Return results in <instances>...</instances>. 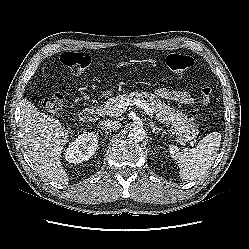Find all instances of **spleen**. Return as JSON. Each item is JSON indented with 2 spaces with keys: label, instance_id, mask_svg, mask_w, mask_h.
I'll use <instances>...</instances> for the list:
<instances>
[{
  "label": "spleen",
  "instance_id": "3e777b00",
  "mask_svg": "<svg viewBox=\"0 0 249 249\" xmlns=\"http://www.w3.org/2000/svg\"><path fill=\"white\" fill-rule=\"evenodd\" d=\"M221 134L212 132L201 139L195 148L180 150L171 144L169 151L174 160H178L180 178L192 181L202 177L216 159L220 147Z\"/></svg>",
  "mask_w": 249,
  "mask_h": 249
}]
</instances>
